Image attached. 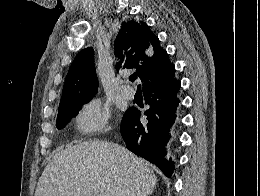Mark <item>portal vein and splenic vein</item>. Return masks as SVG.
I'll list each match as a JSON object with an SVG mask.
<instances>
[{
  "instance_id": "portal-vein-and-splenic-vein-1",
  "label": "portal vein and splenic vein",
  "mask_w": 260,
  "mask_h": 196,
  "mask_svg": "<svg viewBox=\"0 0 260 196\" xmlns=\"http://www.w3.org/2000/svg\"><path fill=\"white\" fill-rule=\"evenodd\" d=\"M93 196H102V194H99V192H94Z\"/></svg>"
}]
</instances>
